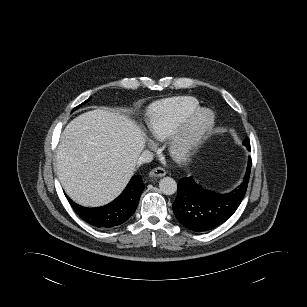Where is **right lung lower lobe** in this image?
Wrapping results in <instances>:
<instances>
[{
	"instance_id": "obj_1",
	"label": "right lung lower lobe",
	"mask_w": 307,
	"mask_h": 307,
	"mask_svg": "<svg viewBox=\"0 0 307 307\" xmlns=\"http://www.w3.org/2000/svg\"><path fill=\"white\" fill-rule=\"evenodd\" d=\"M144 189L141 176H133L129 184L113 202L98 208H85L67 197L77 214L88 224L97 228H112L121 225L135 212Z\"/></svg>"
}]
</instances>
